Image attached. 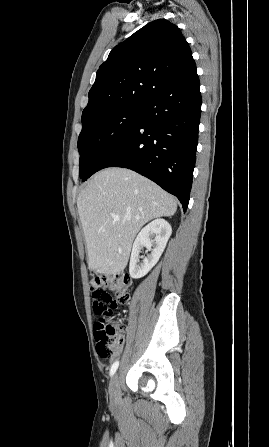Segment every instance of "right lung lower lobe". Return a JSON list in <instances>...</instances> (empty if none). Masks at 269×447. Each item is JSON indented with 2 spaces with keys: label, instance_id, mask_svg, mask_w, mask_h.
Returning a JSON list of instances; mask_svg holds the SVG:
<instances>
[{
  "label": "right lung lower lobe",
  "instance_id": "98d812e1",
  "mask_svg": "<svg viewBox=\"0 0 269 447\" xmlns=\"http://www.w3.org/2000/svg\"><path fill=\"white\" fill-rule=\"evenodd\" d=\"M201 103L194 62L182 76L143 102L139 123L100 157L87 177L113 166L134 170L175 195L185 212L196 160Z\"/></svg>",
  "mask_w": 269,
  "mask_h": 447
}]
</instances>
